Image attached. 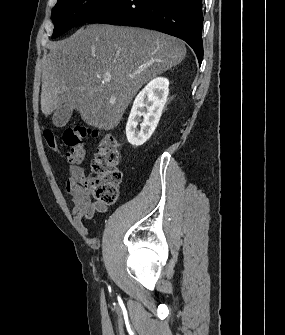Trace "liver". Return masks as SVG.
Segmentation results:
<instances>
[{"instance_id":"6515ba94","label":"liver","mask_w":285,"mask_h":335,"mask_svg":"<svg viewBox=\"0 0 285 335\" xmlns=\"http://www.w3.org/2000/svg\"><path fill=\"white\" fill-rule=\"evenodd\" d=\"M42 72L41 110L70 104L87 126L113 130L138 90L185 58L182 40L144 28L89 24L49 42ZM110 76V82L104 78Z\"/></svg>"}]
</instances>
